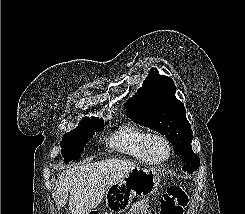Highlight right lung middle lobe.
Here are the masks:
<instances>
[{
    "instance_id": "right-lung-middle-lobe-1",
    "label": "right lung middle lobe",
    "mask_w": 245,
    "mask_h": 214,
    "mask_svg": "<svg viewBox=\"0 0 245 214\" xmlns=\"http://www.w3.org/2000/svg\"><path fill=\"white\" fill-rule=\"evenodd\" d=\"M105 124L107 123L105 122ZM103 128V120L93 117L90 119L86 117L81 121L76 129L65 134L60 143L64 162L68 163L70 161L78 160L84 150V146L96 131H100Z\"/></svg>"
}]
</instances>
